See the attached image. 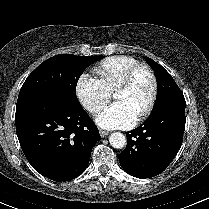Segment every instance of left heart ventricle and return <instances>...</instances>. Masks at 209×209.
Listing matches in <instances>:
<instances>
[{
	"mask_svg": "<svg viewBox=\"0 0 209 209\" xmlns=\"http://www.w3.org/2000/svg\"><path fill=\"white\" fill-rule=\"evenodd\" d=\"M152 91V82L145 72L137 74L132 84L114 94L117 101L125 102L138 116L146 107Z\"/></svg>",
	"mask_w": 209,
	"mask_h": 209,
	"instance_id": "obj_1",
	"label": "left heart ventricle"
}]
</instances>
